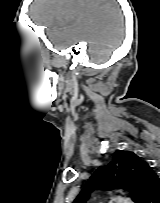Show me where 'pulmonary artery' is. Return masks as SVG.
Listing matches in <instances>:
<instances>
[{
	"label": "pulmonary artery",
	"instance_id": "pulmonary-artery-1",
	"mask_svg": "<svg viewBox=\"0 0 160 203\" xmlns=\"http://www.w3.org/2000/svg\"><path fill=\"white\" fill-rule=\"evenodd\" d=\"M118 203H133V202L131 200L124 199V200L118 201Z\"/></svg>",
	"mask_w": 160,
	"mask_h": 203
}]
</instances>
